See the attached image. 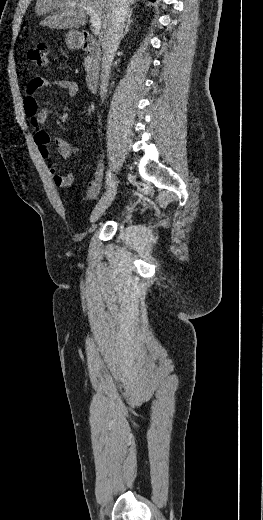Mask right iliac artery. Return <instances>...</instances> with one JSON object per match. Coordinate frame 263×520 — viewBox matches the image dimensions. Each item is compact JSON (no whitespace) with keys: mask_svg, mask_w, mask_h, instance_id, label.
I'll return each instance as SVG.
<instances>
[{"mask_svg":"<svg viewBox=\"0 0 263 520\" xmlns=\"http://www.w3.org/2000/svg\"><path fill=\"white\" fill-rule=\"evenodd\" d=\"M112 181V173L110 170L106 172V186H109Z\"/></svg>","mask_w":263,"mask_h":520,"instance_id":"82829eb1","label":"right iliac artery"}]
</instances>
